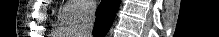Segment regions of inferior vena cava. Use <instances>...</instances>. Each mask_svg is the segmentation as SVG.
<instances>
[{"label": "inferior vena cava", "instance_id": "602c4592", "mask_svg": "<svg viewBox=\"0 0 219 37\" xmlns=\"http://www.w3.org/2000/svg\"><path fill=\"white\" fill-rule=\"evenodd\" d=\"M96 6H89L85 9L82 23L78 28L79 37H92V30L95 22Z\"/></svg>", "mask_w": 219, "mask_h": 37}]
</instances>
